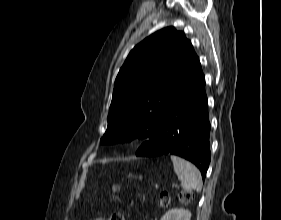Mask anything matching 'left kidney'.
I'll use <instances>...</instances> for the list:
<instances>
[{
	"instance_id": "1",
	"label": "left kidney",
	"mask_w": 281,
	"mask_h": 220,
	"mask_svg": "<svg viewBox=\"0 0 281 220\" xmlns=\"http://www.w3.org/2000/svg\"><path fill=\"white\" fill-rule=\"evenodd\" d=\"M191 212L186 209H171L160 220H190Z\"/></svg>"
}]
</instances>
